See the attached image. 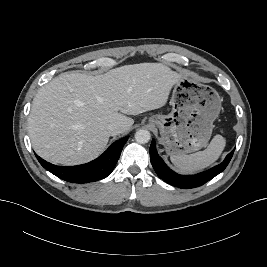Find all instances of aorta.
Segmentation results:
<instances>
[{
    "label": "aorta",
    "instance_id": "obj_1",
    "mask_svg": "<svg viewBox=\"0 0 267 267\" xmlns=\"http://www.w3.org/2000/svg\"><path fill=\"white\" fill-rule=\"evenodd\" d=\"M150 138H151V134L147 129H139L135 133V140L140 144L149 142Z\"/></svg>",
    "mask_w": 267,
    "mask_h": 267
}]
</instances>
